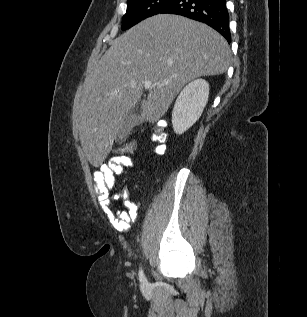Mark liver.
<instances>
[{"label":"liver","mask_w":307,"mask_h":317,"mask_svg":"<svg viewBox=\"0 0 307 317\" xmlns=\"http://www.w3.org/2000/svg\"><path fill=\"white\" fill-rule=\"evenodd\" d=\"M230 61V47L218 32L178 15L150 17L113 40L74 100L73 115L91 164L98 167L111 151L145 81L156 87L141 102L139 119L154 123L185 84L225 73Z\"/></svg>","instance_id":"6515ba94"}]
</instances>
